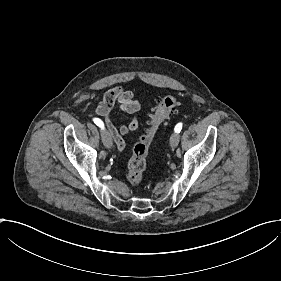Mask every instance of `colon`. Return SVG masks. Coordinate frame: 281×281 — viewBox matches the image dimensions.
Returning <instances> with one entry per match:
<instances>
[{"label":"colon","mask_w":281,"mask_h":281,"mask_svg":"<svg viewBox=\"0 0 281 281\" xmlns=\"http://www.w3.org/2000/svg\"><path fill=\"white\" fill-rule=\"evenodd\" d=\"M177 106V99L173 95H165L158 106L150 113L145 127L140 135L139 142L135 146L126 172L127 181L131 185L140 183L146 168V161L150 148L161 124L169 117Z\"/></svg>","instance_id":"obj_1"}]
</instances>
